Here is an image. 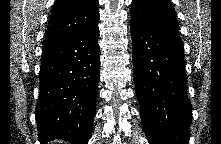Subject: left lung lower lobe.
Returning a JSON list of instances; mask_svg holds the SVG:
<instances>
[{
    "label": "left lung lower lobe",
    "instance_id": "obj_1",
    "mask_svg": "<svg viewBox=\"0 0 221 144\" xmlns=\"http://www.w3.org/2000/svg\"><path fill=\"white\" fill-rule=\"evenodd\" d=\"M133 77L150 144H188L192 121L184 47L177 34L130 21Z\"/></svg>",
    "mask_w": 221,
    "mask_h": 144
}]
</instances>
